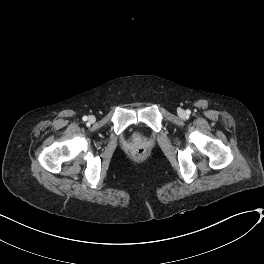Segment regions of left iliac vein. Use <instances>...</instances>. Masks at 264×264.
<instances>
[{
  "instance_id": "4c4485c4",
  "label": "left iliac vein",
  "mask_w": 264,
  "mask_h": 264,
  "mask_svg": "<svg viewBox=\"0 0 264 264\" xmlns=\"http://www.w3.org/2000/svg\"><path fill=\"white\" fill-rule=\"evenodd\" d=\"M179 115H180L181 117H184V116H185V111L182 110V109H180V110H179Z\"/></svg>"
}]
</instances>
